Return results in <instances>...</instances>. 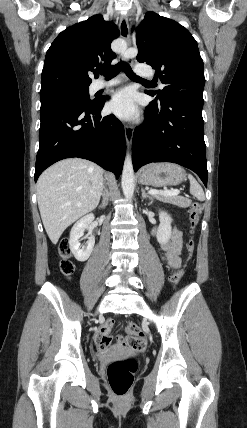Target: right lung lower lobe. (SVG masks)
<instances>
[{
	"mask_svg": "<svg viewBox=\"0 0 247 428\" xmlns=\"http://www.w3.org/2000/svg\"><path fill=\"white\" fill-rule=\"evenodd\" d=\"M106 98L90 105L61 102L40 108V144L35 181L53 163L70 157L93 161L117 178L125 156L122 123L114 116L101 117Z\"/></svg>",
	"mask_w": 247,
	"mask_h": 428,
	"instance_id": "1",
	"label": "right lung lower lobe"
}]
</instances>
